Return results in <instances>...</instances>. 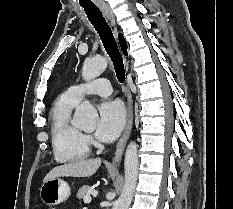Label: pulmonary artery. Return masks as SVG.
<instances>
[{
    "label": "pulmonary artery",
    "instance_id": "e3ab8cb5",
    "mask_svg": "<svg viewBox=\"0 0 233 209\" xmlns=\"http://www.w3.org/2000/svg\"><path fill=\"white\" fill-rule=\"evenodd\" d=\"M74 100L81 101L87 95L109 96L112 93L110 82L105 78H98L91 82L78 84L66 91Z\"/></svg>",
    "mask_w": 233,
    "mask_h": 209
}]
</instances>
